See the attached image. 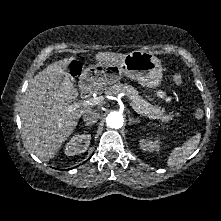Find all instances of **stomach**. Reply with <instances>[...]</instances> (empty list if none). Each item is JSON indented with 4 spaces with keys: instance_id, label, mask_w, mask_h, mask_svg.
<instances>
[{
    "instance_id": "obj_1",
    "label": "stomach",
    "mask_w": 221,
    "mask_h": 221,
    "mask_svg": "<svg viewBox=\"0 0 221 221\" xmlns=\"http://www.w3.org/2000/svg\"><path fill=\"white\" fill-rule=\"evenodd\" d=\"M138 81L147 88H156L162 81L160 60L150 52L133 51L118 64L97 63L86 68L80 75V87L109 85L120 80L122 75Z\"/></svg>"
}]
</instances>
